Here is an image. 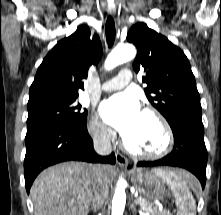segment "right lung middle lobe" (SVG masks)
I'll return each instance as SVG.
<instances>
[{"instance_id":"obj_1","label":"right lung middle lobe","mask_w":221,"mask_h":215,"mask_svg":"<svg viewBox=\"0 0 221 215\" xmlns=\"http://www.w3.org/2000/svg\"><path fill=\"white\" fill-rule=\"evenodd\" d=\"M86 120L87 111L81 110V105L76 102V98L49 101L28 106L27 130L53 121L83 124Z\"/></svg>"}]
</instances>
